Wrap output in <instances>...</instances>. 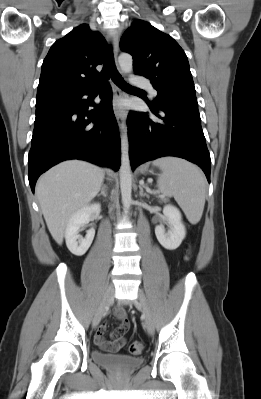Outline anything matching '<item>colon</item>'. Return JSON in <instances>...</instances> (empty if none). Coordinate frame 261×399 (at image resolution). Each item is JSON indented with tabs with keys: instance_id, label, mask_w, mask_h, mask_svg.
<instances>
[{
	"instance_id": "1",
	"label": "colon",
	"mask_w": 261,
	"mask_h": 399,
	"mask_svg": "<svg viewBox=\"0 0 261 399\" xmlns=\"http://www.w3.org/2000/svg\"><path fill=\"white\" fill-rule=\"evenodd\" d=\"M144 350V344L140 341H134L129 345V352L132 355H140Z\"/></svg>"
}]
</instances>
